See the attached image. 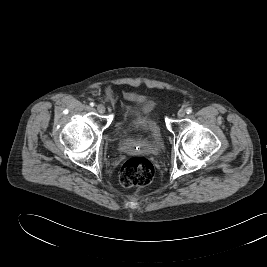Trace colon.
Masks as SVG:
<instances>
[{
	"label": "colon",
	"mask_w": 267,
	"mask_h": 267,
	"mask_svg": "<svg viewBox=\"0 0 267 267\" xmlns=\"http://www.w3.org/2000/svg\"><path fill=\"white\" fill-rule=\"evenodd\" d=\"M154 174V166L147 158L133 157L122 165L119 182L124 188L145 186L152 182Z\"/></svg>",
	"instance_id": "5ec220e1"
}]
</instances>
